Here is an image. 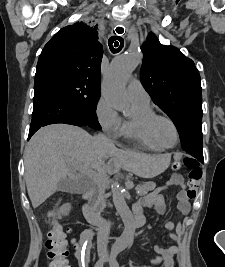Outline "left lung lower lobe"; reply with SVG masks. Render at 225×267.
<instances>
[{"instance_id": "obj_1", "label": "left lung lower lobe", "mask_w": 225, "mask_h": 267, "mask_svg": "<svg viewBox=\"0 0 225 267\" xmlns=\"http://www.w3.org/2000/svg\"><path fill=\"white\" fill-rule=\"evenodd\" d=\"M193 157H195L201 163H203V161H204L203 155L194 154Z\"/></svg>"}]
</instances>
